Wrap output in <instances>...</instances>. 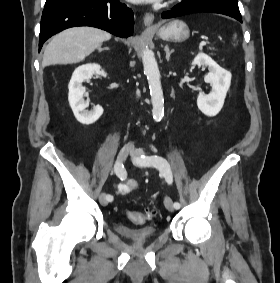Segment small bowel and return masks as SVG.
<instances>
[{"label":"small bowel","mask_w":280,"mask_h":283,"mask_svg":"<svg viewBox=\"0 0 280 283\" xmlns=\"http://www.w3.org/2000/svg\"><path fill=\"white\" fill-rule=\"evenodd\" d=\"M138 188V182L132 178L121 182L117 186V193L121 195H126Z\"/></svg>","instance_id":"obj_1"}]
</instances>
